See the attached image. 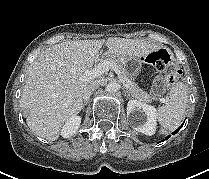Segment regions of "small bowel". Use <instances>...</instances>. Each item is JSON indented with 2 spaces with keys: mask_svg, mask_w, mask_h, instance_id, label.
<instances>
[{
  "mask_svg": "<svg viewBox=\"0 0 209 179\" xmlns=\"http://www.w3.org/2000/svg\"><path fill=\"white\" fill-rule=\"evenodd\" d=\"M165 87H166V80H165V78L162 77V76H158L154 80L152 88H151L152 95L154 97L160 96L164 92Z\"/></svg>",
  "mask_w": 209,
  "mask_h": 179,
  "instance_id": "small-bowel-1",
  "label": "small bowel"
}]
</instances>
